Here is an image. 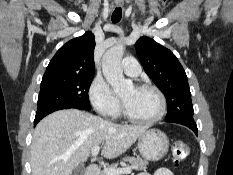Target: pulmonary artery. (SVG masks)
Returning a JSON list of instances; mask_svg holds the SVG:
<instances>
[{
    "instance_id": "obj_1",
    "label": "pulmonary artery",
    "mask_w": 233,
    "mask_h": 175,
    "mask_svg": "<svg viewBox=\"0 0 233 175\" xmlns=\"http://www.w3.org/2000/svg\"><path fill=\"white\" fill-rule=\"evenodd\" d=\"M123 71L127 76L136 77L141 72V67L139 62L132 57H127L122 63Z\"/></svg>"
}]
</instances>
